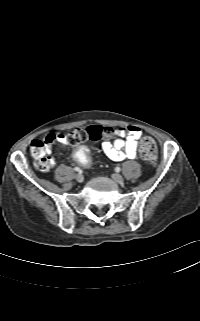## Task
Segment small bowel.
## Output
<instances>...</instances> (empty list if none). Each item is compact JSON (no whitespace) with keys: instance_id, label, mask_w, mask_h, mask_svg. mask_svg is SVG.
<instances>
[{"instance_id":"obj_1","label":"small bowel","mask_w":200,"mask_h":321,"mask_svg":"<svg viewBox=\"0 0 200 321\" xmlns=\"http://www.w3.org/2000/svg\"><path fill=\"white\" fill-rule=\"evenodd\" d=\"M141 137V130L133 125L120 127L114 130L113 137L102 142L101 148L104 154L112 161H123L135 159L137 156L138 140ZM46 138H51L47 144L46 151L50 153L54 143L68 145L70 142L64 133H50ZM52 167L55 162L50 159Z\"/></svg>"}]
</instances>
